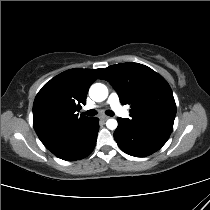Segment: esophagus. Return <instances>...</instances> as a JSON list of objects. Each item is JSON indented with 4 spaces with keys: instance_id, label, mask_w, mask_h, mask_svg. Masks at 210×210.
I'll return each mask as SVG.
<instances>
[{
    "instance_id": "34e87169",
    "label": "esophagus",
    "mask_w": 210,
    "mask_h": 210,
    "mask_svg": "<svg viewBox=\"0 0 210 210\" xmlns=\"http://www.w3.org/2000/svg\"><path fill=\"white\" fill-rule=\"evenodd\" d=\"M100 119L103 120V121H106L107 119H109V117L108 116H101Z\"/></svg>"
}]
</instances>
